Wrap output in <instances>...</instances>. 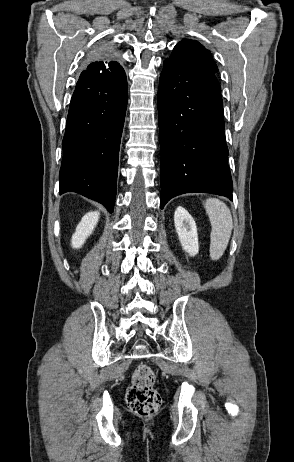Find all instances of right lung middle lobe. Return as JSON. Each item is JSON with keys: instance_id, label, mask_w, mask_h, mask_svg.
I'll list each match as a JSON object with an SVG mask.
<instances>
[{"instance_id": "obj_1", "label": "right lung middle lobe", "mask_w": 294, "mask_h": 462, "mask_svg": "<svg viewBox=\"0 0 294 462\" xmlns=\"http://www.w3.org/2000/svg\"><path fill=\"white\" fill-rule=\"evenodd\" d=\"M111 45L109 43H102L98 47H96L93 51V55H96L98 53L104 52V51H111Z\"/></svg>"}]
</instances>
